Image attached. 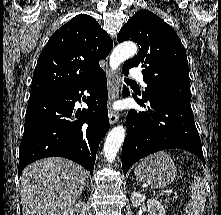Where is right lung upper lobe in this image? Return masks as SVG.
Listing matches in <instances>:
<instances>
[{"label": "right lung upper lobe", "instance_id": "obj_1", "mask_svg": "<svg viewBox=\"0 0 221 215\" xmlns=\"http://www.w3.org/2000/svg\"><path fill=\"white\" fill-rule=\"evenodd\" d=\"M113 41L91 16L80 14L59 28L41 52L30 100L48 97L90 78L101 68Z\"/></svg>", "mask_w": 221, "mask_h": 215}]
</instances>
